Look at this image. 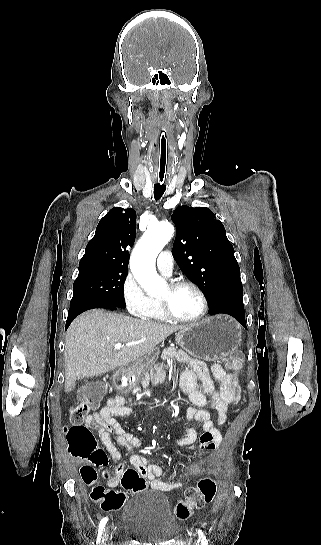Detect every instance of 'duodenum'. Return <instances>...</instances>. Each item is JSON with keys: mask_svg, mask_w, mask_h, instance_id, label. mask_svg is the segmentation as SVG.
<instances>
[{"mask_svg": "<svg viewBox=\"0 0 321 545\" xmlns=\"http://www.w3.org/2000/svg\"><path fill=\"white\" fill-rule=\"evenodd\" d=\"M122 376H123V373H122V372H118V373L115 374L114 380H115L116 382H118V381L122 378Z\"/></svg>", "mask_w": 321, "mask_h": 545, "instance_id": "duodenum-1", "label": "duodenum"}]
</instances>
